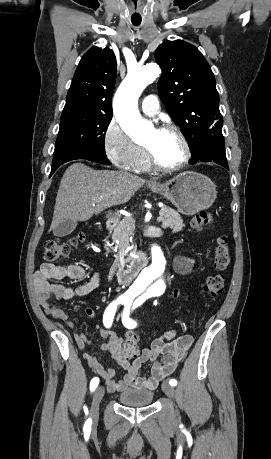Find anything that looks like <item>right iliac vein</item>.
Here are the masks:
<instances>
[{
	"label": "right iliac vein",
	"mask_w": 271,
	"mask_h": 459,
	"mask_svg": "<svg viewBox=\"0 0 271 459\" xmlns=\"http://www.w3.org/2000/svg\"><path fill=\"white\" fill-rule=\"evenodd\" d=\"M104 387L100 386L95 390V393L93 395L92 403H91V409H90V414L93 419H96L99 414V404L104 396Z\"/></svg>",
	"instance_id": "right-iliac-vein-1"
}]
</instances>
